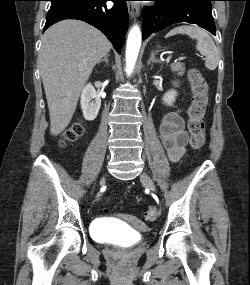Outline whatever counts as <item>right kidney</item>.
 Returning <instances> with one entry per match:
<instances>
[{
    "mask_svg": "<svg viewBox=\"0 0 250 285\" xmlns=\"http://www.w3.org/2000/svg\"><path fill=\"white\" fill-rule=\"evenodd\" d=\"M101 106L100 96L96 93L95 88L89 83L81 94V109L86 120H94Z\"/></svg>",
    "mask_w": 250,
    "mask_h": 285,
    "instance_id": "ca27d5eb",
    "label": "right kidney"
}]
</instances>
